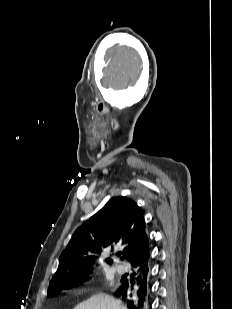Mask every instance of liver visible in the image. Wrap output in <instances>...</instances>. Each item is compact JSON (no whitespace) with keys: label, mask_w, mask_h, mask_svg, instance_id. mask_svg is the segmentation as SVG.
Masks as SVG:
<instances>
[{"label":"liver","mask_w":232,"mask_h":309,"mask_svg":"<svg viewBox=\"0 0 232 309\" xmlns=\"http://www.w3.org/2000/svg\"><path fill=\"white\" fill-rule=\"evenodd\" d=\"M74 309H127L120 301L107 294H96L77 305Z\"/></svg>","instance_id":"liver-1"}]
</instances>
